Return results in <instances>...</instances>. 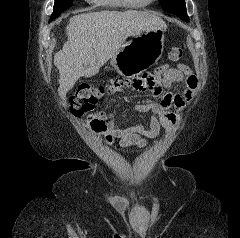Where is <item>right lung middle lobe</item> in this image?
<instances>
[{
  "label": "right lung middle lobe",
  "instance_id": "right-lung-middle-lobe-1",
  "mask_svg": "<svg viewBox=\"0 0 240 238\" xmlns=\"http://www.w3.org/2000/svg\"><path fill=\"white\" fill-rule=\"evenodd\" d=\"M73 3V0H55L53 13L50 17V21L57 18L63 11L68 9ZM49 21V22H50Z\"/></svg>",
  "mask_w": 240,
  "mask_h": 238
}]
</instances>
